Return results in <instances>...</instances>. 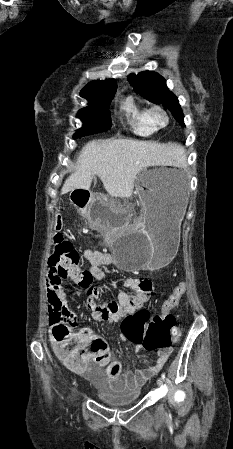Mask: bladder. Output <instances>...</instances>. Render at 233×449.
Here are the masks:
<instances>
[{"label":"bladder","mask_w":233,"mask_h":449,"mask_svg":"<svg viewBox=\"0 0 233 449\" xmlns=\"http://www.w3.org/2000/svg\"><path fill=\"white\" fill-rule=\"evenodd\" d=\"M97 397L107 406L120 408L136 403L140 396L138 388L115 389L102 379L94 381Z\"/></svg>","instance_id":"1"}]
</instances>
